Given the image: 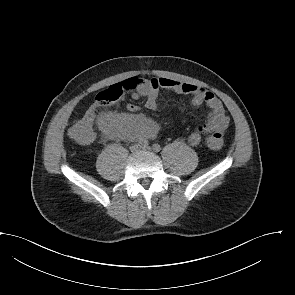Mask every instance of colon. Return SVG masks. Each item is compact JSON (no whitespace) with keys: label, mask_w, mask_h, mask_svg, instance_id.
Here are the masks:
<instances>
[{"label":"colon","mask_w":295,"mask_h":295,"mask_svg":"<svg viewBox=\"0 0 295 295\" xmlns=\"http://www.w3.org/2000/svg\"><path fill=\"white\" fill-rule=\"evenodd\" d=\"M137 86V79L131 78L113 84L107 89L99 92L84 116L70 128L69 136L79 144H87L91 142L94 138L93 123L97 109L99 107L110 106L119 102L126 91L135 90ZM207 145L213 150H220L223 146V140L220 137L212 136L207 139Z\"/></svg>","instance_id":"1"}]
</instances>
